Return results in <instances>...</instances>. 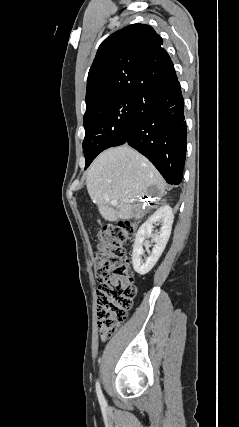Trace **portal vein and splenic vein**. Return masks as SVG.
I'll return each mask as SVG.
<instances>
[{
  "mask_svg": "<svg viewBox=\"0 0 239 427\" xmlns=\"http://www.w3.org/2000/svg\"><path fill=\"white\" fill-rule=\"evenodd\" d=\"M131 201H133V200H131ZM111 204L116 205L117 204V200H112Z\"/></svg>",
  "mask_w": 239,
  "mask_h": 427,
  "instance_id": "portal-vein-and-splenic-vein-1",
  "label": "portal vein and splenic vein"
}]
</instances>
